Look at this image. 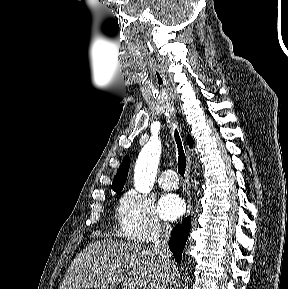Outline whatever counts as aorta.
Segmentation results:
<instances>
[{
  "instance_id": "762f6f07",
  "label": "aorta",
  "mask_w": 288,
  "mask_h": 289,
  "mask_svg": "<svg viewBox=\"0 0 288 289\" xmlns=\"http://www.w3.org/2000/svg\"><path fill=\"white\" fill-rule=\"evenodd\" d=\"M160 154L161 143L157 139L150 140L139 154L135 165L134 185L143 194L149 193L153 187Z\"/></svg>"
}]
</instances>
